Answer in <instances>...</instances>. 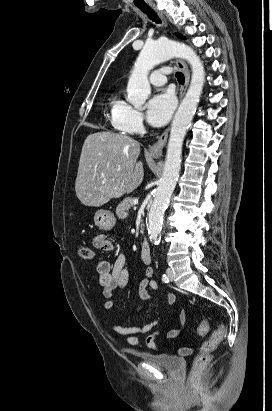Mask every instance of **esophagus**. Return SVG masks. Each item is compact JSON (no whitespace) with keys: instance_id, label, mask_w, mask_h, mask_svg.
<instances>
[{"instance_id":"esophagus-1","label":"esophagus","mask_w":272,"mask_h":411,"mask_svg":"<svg viewBox=\"0 0 272 411\" xmlns=\"http://www.w3.org/2000/svg\"><path fill=\"white\" fill-rule=\"evenodd\" d=\"M153 9L158 15H160L164 19L165 22H167V20H166L165 16L163 15V13L156 6H153ZM175 62H176L177 67L183 72L184 77H185V82H184V84H183V86L181 87V90H180L179 99L181 101L184 94H185V92H186V89L188 87L189 80H190V74H189V69H188L186 63L183 60L176 59ZM169 130H170V128L168 127L161 134V136L159 137L157 142L149 147L148 154H150L151 156H161L162 155L163 148H164V146L167 142Z\"/></svg>"}]
</instances>
